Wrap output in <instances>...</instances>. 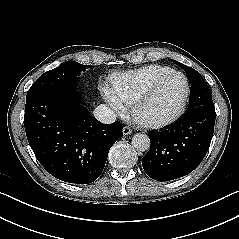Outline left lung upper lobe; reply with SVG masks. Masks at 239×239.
<instances>
[{"instance_id":"5c2ea615","label":"left lung upper lobe","mask_w":239,"mask_h":239,"mask_svg":"<svg viewBox=\"0 0 239 239\" xmlns=\"http://www.w3.org/2000/svg\"><path fill=\"white\" fill-rule=\"evenodd\" d=\"M172 61L186 72L191 82L188 111L198 106L213 105L210 89L199 72L178 61Z\"/></svg>"}]
</instances>
